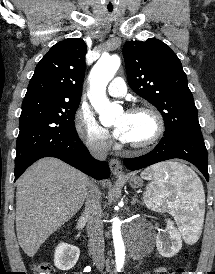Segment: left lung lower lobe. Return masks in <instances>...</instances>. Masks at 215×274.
<instances>
[{"label":"left lung lower lobe","instance_id":"1","mask_svg":"<svg viewBox=\"0 0 215 274\" xmlns=\"http://www.w3.org/2000/svg\"><path fill=\"white\" fill-rule=\"evenodd\" d=\"M173 158L191 162L208 181L207 149L203 137L189 134L164 136L151 152L136 158H126L124 159V164L130 170H138Z\"/></svg>","mask_w":215,"mask_h":274}]
</instances>
